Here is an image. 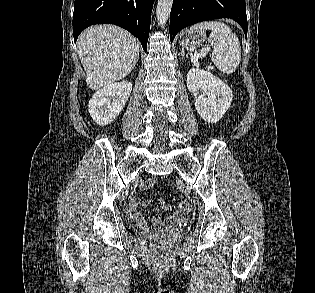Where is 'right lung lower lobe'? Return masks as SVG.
<instances>
[{
    "label": "right lung lower lobe",
    "instance_id": "98d812e1",
    "mask_svg": "<svg viewBox=\"0 0 315 293\" xmlns=\"http://www.w3.org/2000/svg\"><path fill=\"white\" fill-rule=\"evenodd\" d=\"M154 0H75L73 35L96 23L118 25L136 36L147 50Z\"/></svg>",
    "mask_w": 315,
    "mask_h": 293
}]
</instances>
